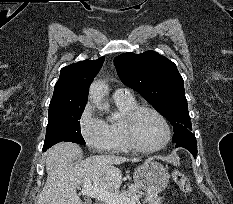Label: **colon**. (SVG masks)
I'll list each match as a JSON object with an SVG mask.
<instances>
[{
    "instance_id": "5ec220e1",
    "label": "colon",
    "mask_w": 233,
    "mask_h": 204,
    "mask_svg": "<svg viewBox=\"0 0 233 204\" xmlns=\"http://www.w3.org/2000/svg\"><path fill=\"white\" fill-rule=\"evenodd\" d=\"M172 178L177 183L182 192L190 194L192 192V186L187 176L179 170L172 172Z\"/></svg>"
}]
</instances>
